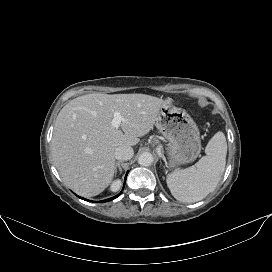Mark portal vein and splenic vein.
I'll list each match as a JSON object with an SVG mask.
<instances>
[{
    "mask_svg": "<svg viewBox=\"0 0 272 272\" xmlns=\"http://www.w3.org/2000/svg\"><path fill=\"white\" fill-rule=\"evenodd\" d=\"M125 121V119L122 117V115L119 112L114 113V118L112 120V125L115 128H119L121 122Z\"/></svg>",
    "mask_w": 272,
    "mask_h": 272,
    "instance_id": "1",
    "label": "portal vein and splenic vein"
}]
</instances>
